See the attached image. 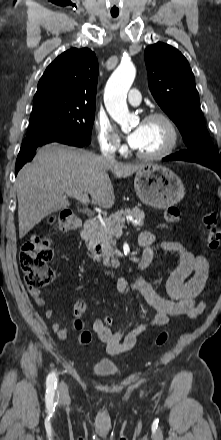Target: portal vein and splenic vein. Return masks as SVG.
<instances>
[{
    "label": "portal vein and splenic vein",
    "instance_id": "obj_1",
    "mask_svg": "<svg viewBox=\"0 0 221 440\" xmlns=\"http://www.w3.org/2000/svg\"><path fill=\"white\" fill-rule=\"evenodd\" d=\"M66 194L68 196L74 197L77 200L81 201L83 204H89L90 200H89V196L88 193H81V192H71V191H67ZM124 227V225H118L116 226L115 232H122V228Z\"/></svg>",
    "mask_w": 221,
    "mask_h": 440
}]
</instances>
